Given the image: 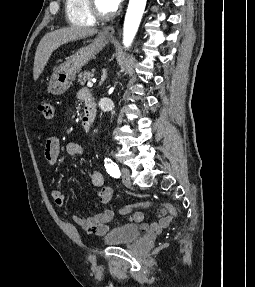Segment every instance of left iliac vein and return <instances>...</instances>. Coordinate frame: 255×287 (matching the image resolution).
<instances>
[{"mask_svg": "<svg viewBox=\"0 0 255 287\" xmlns=\"http://www.w3.org/2000/svg\"><path fill=\"white\" fill-rule=\"evenodd\" d=\"M121 179L126 185L130 183V170L128 168L123 167L121 169Z\"/></svg>", "mask_w": 255, "mask_h": 287, "instance_id": "obj_1", "label": "left iliac vein"}]
</instances>
